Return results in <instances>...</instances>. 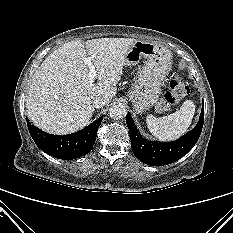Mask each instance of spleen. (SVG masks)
Returning a JSON list of instances; mask_svg holds the SVG:
<instances>
[{
  "label": "spleen",
  "instance_id": "obj_1",
  "mask_svg": "<svg viewBox=\"0 0 233 233\" xmlns=\"http://www.w3.org/2000/svg\"><path fill=\"white\" fill-rule=\"evenodd\" d=\"M195 113V103L187 100L179 110L164 117L152 114L146 118L151 134L160 140H174L183 135L190 126Z\"/></svg>",
  "mask_w": 233,
  "mask_h": 233
}]
</instances>
